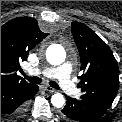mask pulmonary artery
<instances>
[{
	"instance_id": "pulmonary-artery-1",
	"label": "pulmonary artery",
	"mask_w": 122,
	"mask_h": 122,
	"mask_svg": "<svg viewBox=\"0 0 122 122\" xmlns=\"http://www.w3.org/2000/svg\"><path fill=\"white\" fill-rule=\"evenodd\" d=\"M72 65L66 62L58 67L47 68L44 70L32 69L29 71L31 75H43L49 78H57L61 89L68 95L79 96L80 91L71 80Z\"/></svg>"
}]
</instances>
